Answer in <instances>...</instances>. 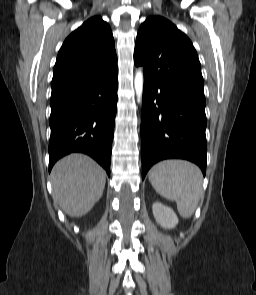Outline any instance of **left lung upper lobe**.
Segmentation results:
<instances>
[{
  "label": "left lung upper lobe",
  "mask_w": 256,
  "mask_h": 295,
  "mask_svg": "<svg viewBox=\"0 0 256 295\" xmlns=\"http://www.w3.org/2000/svg\"><path fill=\"white\" fill-rule=\"evenodd\" d=\"M136 66L160 86L205 101L201 66L189 38L161 16H150L141 25L134 51Z\"/></svg>",
  "instance_id": "1"
}]
</instances>
